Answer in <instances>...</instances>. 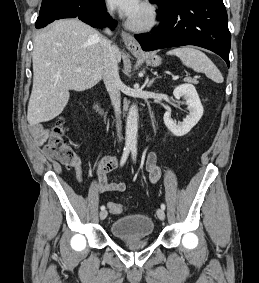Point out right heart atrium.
Masks as SVG:
<instances>
[{"instance_id":"obj_1","label":"right heart atrium","mask_w":259,"mask_h":283,"mask_svg":"<svg viewBox=\"0 0 259 283\" xmlns=\"http://www.w3.org/2000/svg\"><path fill=\"white\" fill-rule=\"evenodd\" d=\"M102 10L105 14H111L112 13V7L110 6V4L107 1H105L103 3Z\"/></svg>"}]
</instances>
